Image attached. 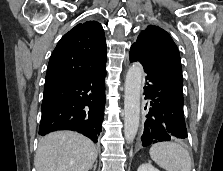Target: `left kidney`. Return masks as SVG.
<instances>
[{
    "instance_id": "1",
    "label": "left kidney",
    "mask_w": 223,
    "mask_h": 171,
    "mask_svg": "<svg viewBox=\"0 0 223 171\" xmlns=\"http://www.w3.org/2000/svg\"><path fill=\"white\" fill-rule=\"evenodd\" d=\"M137 171H159V170L154 168L151 164H142L141 166H139Z\"/></svg>"
}]
</instances>
